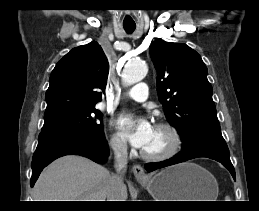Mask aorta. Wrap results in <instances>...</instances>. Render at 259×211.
I'll use <instances>...</instances> for the list:
<instances>
[{
	"instance_id": "762f6f07",
	"label": "aorta",
	"mask_w": 259,
	"mask_h": 211,
	"mask_svg": "<svg viewBox=\"0 0 259 211\" xmlns=\"http://www.w3.org/2000/svg\"><path fill=\"white\" fill-rule=\"evenodd\" d=\"M148 67L143 61H132L128 63L123 72L122 80L126 85L135 84L147 75Z\"/></svg>"
}]
</instances>
